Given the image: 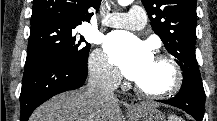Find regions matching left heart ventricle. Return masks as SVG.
<instances>
[{"instance_id":"1","label":"left heart ventricle","mask_w":217,"mask_h":121,"mask_svg":"<svg viewBox=\"0 0 217 121\" xmlns=\"http://www.w3.org/2000/svg\"><path fill=\"white\" fill-rule=\"evenodd\" d=\"M170 80L171 72L168 66L163 62L153 59L136 82L145 89L160 90L165 88Z\"/></svg>"}]
</instances>
